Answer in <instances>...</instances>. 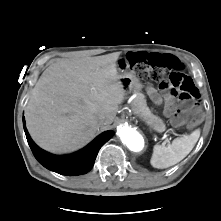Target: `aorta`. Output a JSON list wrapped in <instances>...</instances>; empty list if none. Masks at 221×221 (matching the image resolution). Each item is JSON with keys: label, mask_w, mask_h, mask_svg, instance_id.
<instances>
[{"label": "aorta", "mask_w": 221, "mask_h": 221, "mask_svg": "<svg viewBox=\"0 0 221 221\" xmlns=\"http://www.w3.org/2000/svg\"><path fill=\"white\" fill-rule=\"evenodd\" d=\"M117 135L131 151L138 152L144 147V139L142 135L129 126H119L117 129Z\"/></svg>", "instance_id": "obj_1"}]
</instances>
